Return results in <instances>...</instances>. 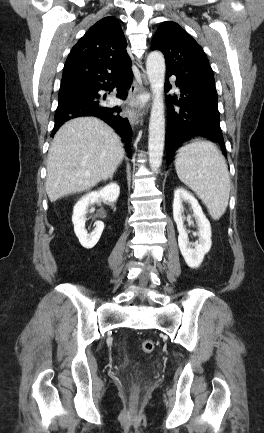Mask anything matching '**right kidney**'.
I'll use <instances>...</instances> for the list:
<instances>
[{"label":"right kidney","mask_w":264,"mask_h":433,"mask_svg":"<svg viewBox=\"0 0 264 433\" xmlns=\"http://www.w3.org/2000/svg\"><path fill=\"white\" fill-rule=\"evenodd\" d=\"M120 193V187L116 183H110L99 191H94L83 196L73 208L72 222L74 232L79 239L80 244L87 248H93L99 241L104 229V223L95 222V229L88 234L85 229V219L89 205L96 203L99 199L113 203L117 200Z\"/></svg>","instance_id":"ca27d5eb"}]
</instances>
